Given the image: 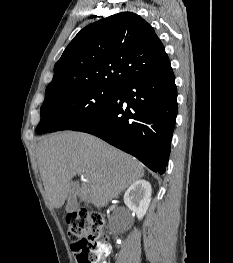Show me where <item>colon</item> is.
Wrapping results in <instances>:
<instances>
[{
  "label": "colon",
  "mask_w": 233,
  "mask_h": 263,
  "mask_svg": "<svg viewBox=\"0 0 233 263\" xmlns=\"http://www.w3.org/2000/svg\"><path fill=\"white\" fill-rule=\"evenodd\" d=\"M102 213L79 210L66 219L67 234L78 263H102L108 238Z\"/></svg>",
  "instance_id": "colon-1"
}]
</instances>
